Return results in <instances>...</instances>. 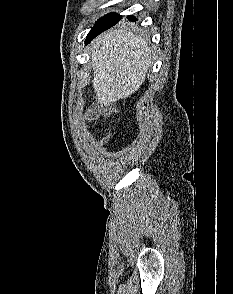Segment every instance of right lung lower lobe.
<instances>
[{
	"instance_id": "1",
	"label": "right lung lower lobe",
	"mask_w": 233,
	"mask_h": 294,
	"mask_svg": "<svg viewBox=\"0 0 233 294\" xmlns=\"http://www.w3.org/2000/svg\"><path fill=\"white\" fill-rule=\"evenodd\" d=\"M128 19L130 21H136V18L134 16H128ZM117 23V22H116ZM115 22H110V23H104L101 25H98L96 27H94L90 33L88 34L87 38H86V43L90 42L92 39H94L98 34H100L101 32H103L104 30L112 27L113 25L116 24Z\"/></svg>"
}]
</instances>
